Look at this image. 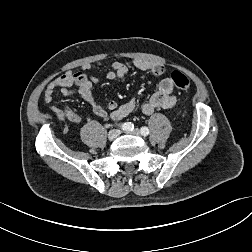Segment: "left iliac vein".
<instances>
[{
  "mask_svg": "<svg viewBox=\"0 0 252 252\" xmlns=\"http://www.w3.org/2000/svg\"><path fill=\"white\" fill-rule=\"evenodd\" d=\"M130 133L133 134V135H136V136H140V131L138 129H134Z\"/></svg>",
  "mask_w": 252,
  "mask_h": 252,
  "instance_id": "obj_1",
  "label": "left iliac vein"
}]
</instances>
